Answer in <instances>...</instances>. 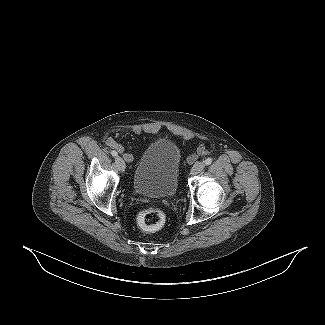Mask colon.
<instances>
[{"mask_svg": "<svg viewBox=\"0 0 325 325\" xmlns=\"http://www.w3.org/2000/svg\"><path fill=\"white\" fill-rule=\"evenodd\" d=\"M140 227L145 231H156L160 229L165 223V215L159 209H147L140 214L138 218Z\"/></svg>", "mask_w": 325, "mask_h": 325, "instance_id": "obj_1", "label": "colon"}]
</instances>
